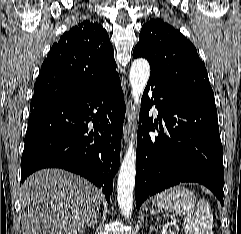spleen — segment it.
<instances>
[{
  "label": "spleen",
  "mask_w": 241,
  "mask_h": 234,
  "mask_svg": "<svg viewBox=\"0 0 241 234\" xmlns=\"http://www.w3.org/2000/svg\"><path fill=\"white\" fill-rule=\"evenodd\" d=\"M153 204L176 215L184 216L186 234H213V215L209 203L199 199L182 185L166 189L153 199Z\"/></svg>",
  "instance_id": "1"
}]
</instances>
